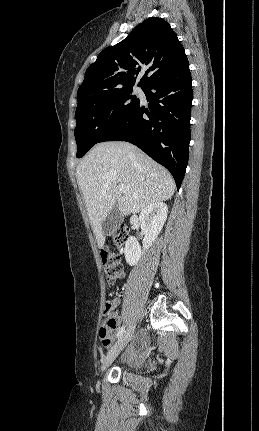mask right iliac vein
I'll use <instances>...</instances> for the list:
<instances>
[{"label": "right iliac vein", "mask_w": 259, "mask_h": 431, "mask_svg": "<svg viewBox=\"0 0 259 431\" xmlns=\"http://www.w3.org/2000/svg\"><path fill=\"white\" fill-rule=\"evenodd\" d=\"M133 332H134V325H131L124 332V334L119 338V340L116 342V344L112 347V349L106 355V357L102 363V366H101L102 371H105L112 364V362L116 359V357L120 354V352L123 350V348L131 340Z\"/></svg>", "instance_id": "right-iliac-vein-1"}]
</instances>
